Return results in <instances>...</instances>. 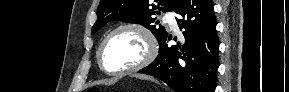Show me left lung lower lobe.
<instances>
[{
  "label": "left lung lower lobe",
  "mask_w": 289,
  "mask_h": 92,
  "mask_svg": "<svg viewBox=\"0 0 289 92\" xmlns=\"http://www.w3.org/2000/svg\"><path fill=\"white\" fill-rule=\"evenodd\" d=\"M174 11L185 43L159 45L157 58L138 73L159 78L176 92H215L219 67L217 21L211 0H179Z\"/></svg>",
  "instance_id": "0a47b994"
}]
</instances>
